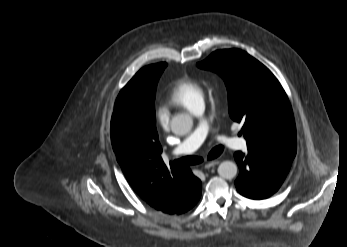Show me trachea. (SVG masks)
<instances>
[{
    "label": "trachea",
    "mask_w": 347,
    "mask_h": 247,
    "mask_svg": "<svg viewBox=\"0 0 347 247\" xmlns=\"http://www.w3.org/2000/svg\"><path fill=\"white\" fill-rule=\"evenodd\" d=\"M222 152H223V146L222 145L216 146L209 152L207 158L209 160L215 159ZM202 161H203V159L201 157L187 156V157L175 160L174 163H176L178 165H195V164L201 163Z\"/></svg>",
    "instance_id": "trachea-1"
}]
</instances>
